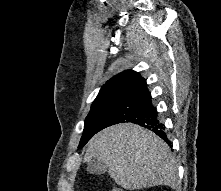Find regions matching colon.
<instances>
[{
    "label": "colon",
    "mask_w": 221,
    "mask_h": 191,
    "mask_svg": "<svg viewBox=\"0 0 221 191\" xmlns=\"http://www.w3.org/2000/svg\"><path fill=\"white\" fill-rule=\"evenodd\" d=\"M112 191H123V190L120 188H114Z\"/></svg>",
    "instance_id": "obj_1"
}]
</instances>
